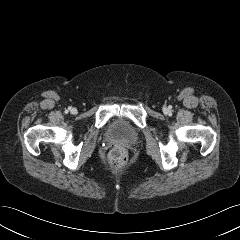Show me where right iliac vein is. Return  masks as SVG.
I'll return each mask as SVG.
<instances>
[{"label":"right iliac vein","mask_w":240,"mask_h":240,"mask_svg":"<svg viewBox=\"0 0 240 240\" xmlns=\"http://www.w3.org/2000/svg\"><path fill=\"white\" fill-rule=\"evenodd\" d=\"M71 113H72V114H76V113H77V109H76V108H72V109H71Z\"/></svg>","instance_id":"obj_1"}]
</instances>
